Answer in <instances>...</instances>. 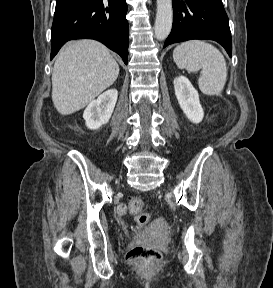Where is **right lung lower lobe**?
I'll list each match as a JSON object with an SVG mask.
<instances>
[{
	"mask_svg": "<svg viewBox=\"0 0 273 288\" xmlns=\"http://www.w3.org/2000/svg\"><path fill=\"white\" fill-rule=\"evenodd\" d=\"M125 0H57L51 29V59L71 39L91 38L128 60Z\"/></svg>",
	"mask_w": 273,
	"mask_h": 288,
	"instance_id": "98d812e1",
	"label": "right lung lower lobe"
}]
</instances>
